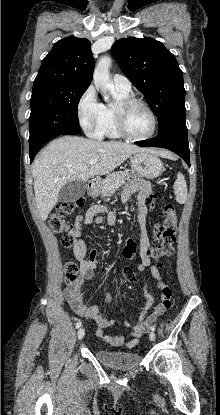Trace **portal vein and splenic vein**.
<instances>
[{"label":"portal vein and splenic vein","instance_id":"1","mask_svg":"<svg viewBox=\"0 0 220 415\" xmlns=\"http://www.w3.org/2000/svg\"><path fill=\"white\" fill-rule=\"evenodd\" d=\"M98 162V159H91L90 160V162H89V164L90 165H94V164H96Z\"/></svg>","mask_w":220,"mask_h":415}]
</instances>
